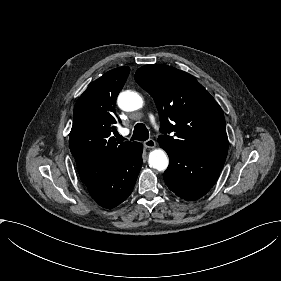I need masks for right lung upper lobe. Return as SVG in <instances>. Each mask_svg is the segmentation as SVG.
<instances>
[{"mask_svg":"<svg viewBox=\"0 0 281 281\" xmlns=\"http://www.w3.org/2000/svg\"><path fill=\"white\" fill-rule=\"evenodd\" d=\"M129 67L113 69L92 82L78 98L69 133L71 153L83 184L113 171L138 142H116V98L129 75Z\"/></svg>","mask_w":281,"mask_h":281,"instance_id":"obj_1","label":"right lung upper lobe"}]
</instances>
